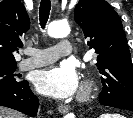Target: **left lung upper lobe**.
Here are the masks:
<instances>
[{"mask_svg":"<svg viewBox=\"0 0 133 118\" xmlns=\"http://www.w3.org/2000/svg\"><path fill=\"white\" fill-rule=\"evenodd\" d=\"M74 18L97 53L102 105L133 111V65L121 20L105 0H79Z\"/></svg>","mask_w":133,"mask_h":118,"instance_id":"5c2ea615","label":"left lung upper lobe"}]
</instances>
